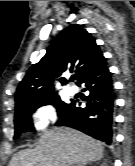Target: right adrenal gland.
Returning <instances> with one entry per match:
<instances>
[{
    "label": "right adrenal gland",
    "instance_id": "2a0ac1e0",
    "mask_svg": "<svg viewBox=\"0 0 135 166\" xmlns=\"http://www.w3.org/2000/svg\"><path fill=\"white\" fill-rule=\"evenodd\" d=\"M87 164H79V165H77V166H86Z\"/></svg>",
    "mask_w": 135,
    "mask_h": 166
}]
</instances>
